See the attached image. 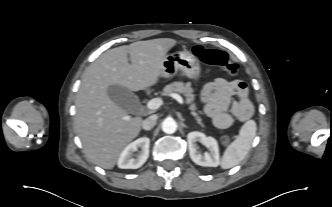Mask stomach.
Masks as SVG:
<instances>
[{"label": "stomach", "instance_id": "1", "mask_svg": "<svg viewBox=\"0 0 332 207\" xmlns=\"http://www.w3.org/2000/svg\"><path fill=\"white\" fill-rule=\"evenodd\" d=\"M181 71L193 81L201 76V67L196 56L188 51H179L167 54L162 61V77L170 78Z\"/></svg>", "mask_w": 332, "mask_h": 207}]
</instances>
